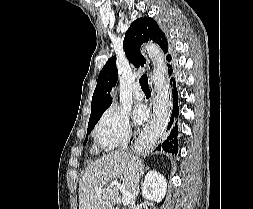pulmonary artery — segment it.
Listing matches in <instances>:
<instances>
[{
	"mask_svg": "<svg viewBox=\"0 0 253 209\" xmlns=\"http://www.w3.org/2000/svg\"><path fill=\"white\" fill-rule=\"evenodd\" d=\"M133 96L136 100H143L145 97L144 92L141 90L140 86L136 84L133 89Z\"/></svg>",
	"mask_w": 253,
	"mask_h": 209,
	"instance_id": "1",
	"label": "pulmonary artery"
}]
</instances>
